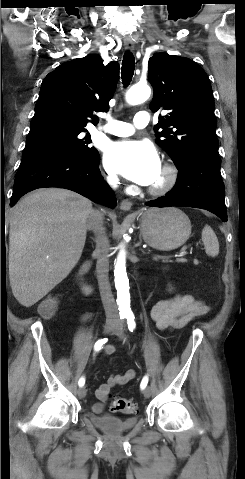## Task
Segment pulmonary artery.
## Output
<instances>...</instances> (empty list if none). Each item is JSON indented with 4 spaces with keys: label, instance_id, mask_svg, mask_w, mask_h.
<instances>
[{
    "label": "pulmonary artery",
    "instance_id": "1",
    "mask_svg": "<svg viewBox=\"0 0 245 479\" xmlns=\"http://www.w3.org/2000/svg\"><path fill=\"white\" fill-rule=\"evenodd\" d=\"M150 122V115L146 111H139L135 114L132 123L122 122L118 120H111L108 125L102 129L112 135L129 136L136 128H143Z\"/></svg>",
    "mask_w": 245,
    "mask_h": 479
}]
</instances>
